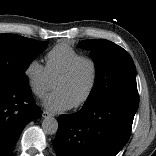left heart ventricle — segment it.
Instances as JSON below:
<instances>
[{"label":"left heart ventricle","mask_w":156,"mask_h":156,"mask_svg":"<svg viewBox=\"0 0 156 156\" xmlns=\"http://www.w3.org/2000/svg\"><path fill=\"white\" fill-rule=\"evenodd\" d=\"M91 79L92 68L88 63H83L71 78L54 83L53 88L62 92L72 104H75L88 90Z\"/></svg>","instance_id":"obj_1"}]
</instances>
